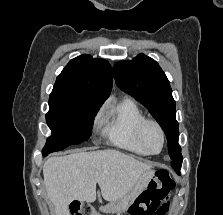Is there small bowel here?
Returning <instances> with one entry per match:
<instances>
[{
	"label": "small bowel",
	"instance_id": "small-bowel-1",
	"mask_svg": "<svg viewBox=\"0 0 223 215\" xmlns=\"http://www.w3.org/2000/svg\"><path fill=\"white\" fill-rule=\"evenodd\" d=\"M167 209H168V203H167V201H165L164 211L162 212V214H158V215H164L166 213Z\"/></svg>",
	"mask_w": 223,
	"mask_h": 215
}]
</instances>
